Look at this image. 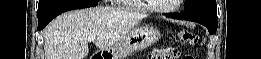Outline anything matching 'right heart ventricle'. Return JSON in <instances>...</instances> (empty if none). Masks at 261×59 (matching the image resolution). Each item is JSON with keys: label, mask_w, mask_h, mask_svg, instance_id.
<instances>
[{"label": "right heart ventricle", "mask_w": 261, "mask_h": 59, "mask_svg": "<svg viewBox=\"0 0 261 59\" xmlns=\"http://www.w3.org/2000/svg\"><path fill=\"white\" fill-rule=\"evenodd\" d=\"M118 3H121L123 5H126V6H131V7H135L137 9H142L140 8L139 6H137L134 1H131V0H117Z\"/></svg>", "instance_id": "right-heart-ventricle-1"}]
</instances>
